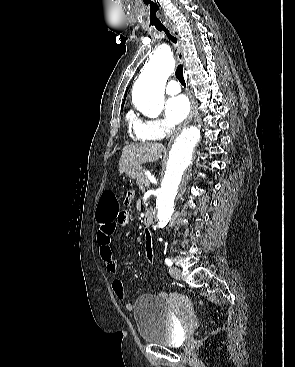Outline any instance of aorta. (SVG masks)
I'll return each instance as SVG.
<instances>
[{"instance_id": "762f6f07", "label": "aorta", "mask_w": 295, "mask_h": 367, "mask_svg": "<svg viewBox=\"0 0 295 367\" xmlns=\"http://www.w3.org/2000/svg\"><path fill=\"white\" fill-rule=\"evenodd\" d=\"M174 66L173 57L163 53L154 54L145 66L132 91L133 103L142 114L149 117L161 114L164 105V87ZM200 136V130L191 126L183 129L172 145L161 187L157 193L156 211L159 228L165 227L171 219L175 199Z\"/></svg>"}]
</instances>
